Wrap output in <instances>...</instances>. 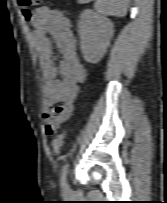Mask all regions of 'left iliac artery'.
Returning <instances> with one entry per match:
<instances>
[{
    "mask_svg": "<svg viewBox=\"0 0 167 203\" xmlns=\"http://www.w3.org/2000/svg\"><path fill=\"white\" fill-rule=\"evenodd\" d=\"M68 162L65 163V165L63 166V169H62V173H61V185L62 187H64L65 185V180H66V175H67V172H68Z\"/></svg>",
    "mask_w": 167,
    "mask_h": 203,
    "instance_id": "obj_1",
    "label": "left iliac artery"
}]
</instances>
